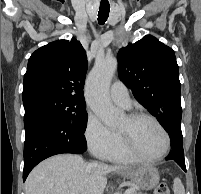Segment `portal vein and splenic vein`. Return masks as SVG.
Listing matches in <instances>:
<instances>
[{"label": "portal vein and splenic vein", "mask_w": 201, "mask_h": 194, "mask_svg": "<svg viewBox=\"0 0 201 194\" xmlns=\"http://www.w3.org/2000/svg\"><path fill=\"white\" fill-rule=\"evenodd\" d=\"M130 193H131V190L127 189L124 194H130Z\"/></svg>", "instance_id": "1"}]
</instances>
